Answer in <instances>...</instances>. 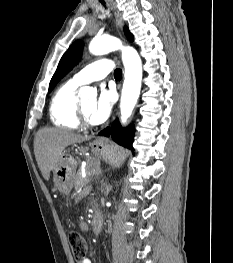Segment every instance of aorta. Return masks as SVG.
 <instances>
[{"label":"aorta","instance_id":"aorta-1","mask_svg":"<svg viewBox=\"0 0 233 263\" xmlns=\"http://www.w3.org/2000/svg\"><path fill=\"white\" fill-rule=\"evenodd\" d=\"M118 49L122 50V61L125 67V80L120 100L121 122L125 124L132 114L140 94L142 80L141 59L134 48L124 47L116 37H95L89 45V51L93 55H102ZM80 91L82 92V102L96 95V91L90 87H83Z\"/></svg>","mask_w":233,"mask_h":263}]
</instances>
